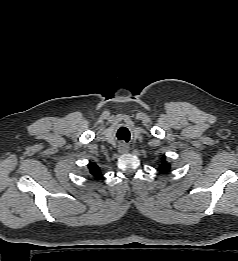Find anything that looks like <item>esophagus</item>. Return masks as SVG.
Instances as JSON below:
<instances>
[{
    "label": "esophagus",
    "instance_id": "obj_1",
    "mask_svg": "<svg viewBox=\"0 0 238 261\" xmlns=\"http://www.w3.org/2000/svg\"><path fill=\"white\" fill-rule=\"evenodd\" d=\"M118 152L121 154L129 152V145L126 142H120L118 145Z\"/></svg>",
    "mask_w": 238,
    "mask_h": 261
}]
</instances>
